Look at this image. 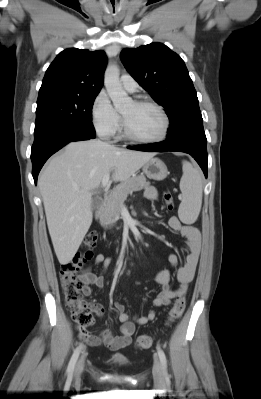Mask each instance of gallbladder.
Wrapping results in <instances>:
<instances>
[{"label": "gallbladder", "instance_id": "obj_1", "mask_svg": "<svg viewBox=\"0 0 261 399\" xmlns=\"http://www.w3.org/2000/svg\"><path fill=\"white\" fill-rule=\"evenodd\" d=\"M101 203H102L101 197L100 196H94L92 198V203H91L92 210L93 211L97 210L100 207Z\"/></svg>", "mask_w": 261, "mask_h": 399}]
</instances>
